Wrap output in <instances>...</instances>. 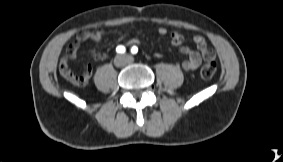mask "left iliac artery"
Returning a JSON list of instances; mask_svg holds the SVG:
<instances>
[{
	"mask_svg": "<svg viewBox=\"0 0 283 162\" xmlns=\"http://www.w3.org/2000/svg\"><path fill=\"white\" fill-rule=\"evenodd\" d=\"M131 52H132V54H136L138 52V48L136 46H133L131 48Z\"/></svg>",
	"mask_w": 283,
	"mask_h": 162,
	"instance_id": "left-iliac-artery-1",
	"label": "left iliac artery"
}]
</instances>
